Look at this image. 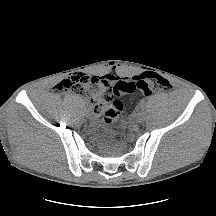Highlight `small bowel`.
<instances>
[{
  "mask_svg": "<svg viewBox=\"0 0 216 216\" xmlns=\"http://www.w3.org/2000/svg\"><path fill=\"white\" fill-rule=\"evenodd\" d=\"M105 77H106L110 82H114V83H115L116 81H118V80L123 79V78H120L119 76L114 75V74H107V75H105ZM92 108H93L94 113L98 114V112L94 109L93 105H92Z\"/></svg>",
  "mask_w": 216,
  "mask_h": 216,
  "instance_id": "obj_1",
  "label": "small bowel"
}]
</instances>
